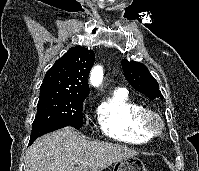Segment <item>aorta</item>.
<instances>
[{"label": "aorta", "mask_w": 199, "mask_h": 171, "mask_svg": "<svg viewBox=\"0 0 199 171\" xmlns=\"http://www.w3.org/2000/svg\"><path fill=\"white\" fill-rule=\"evenodd\" d=\"M103 79V68L99 65L94 66L90 73V83L93 86H98Z\"/></svg>", "instance_id": "obj_1"}]
</instances>
